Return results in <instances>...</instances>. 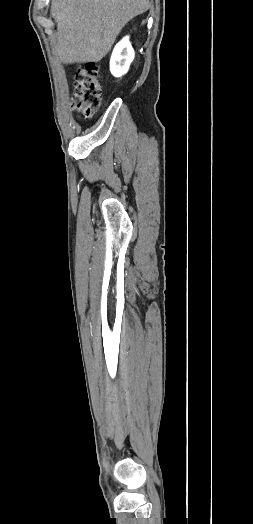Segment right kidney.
Instances as JSON below:
<instances>
[{
	"mask_svg": "<svg viewBox=\"0 0 253 524\" xmlns=\"http://www.w3.org/2000/svg\"><path fill=\"white\" fill-rule=\"evenodd\" d=\"M134 50L129 42V37L123 38L114 48L111 60L110 71L115 77L125 74L134 59Z\"/></svg>",
	"mask_w": 253,
	"mask_h": 524,
	"instance_id": "obj_1",
	"label": "right kidney"
}]
</instances>
